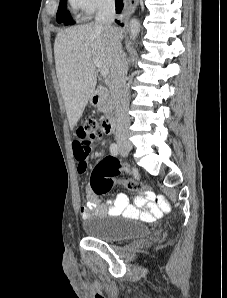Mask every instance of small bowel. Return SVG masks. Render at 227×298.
<instances>
[{
  "instance_id": "1",
  "label": "small bowel",
  "mask_w": 227,
  "mask_h": 298,
  "mask_svg": "<svg viewBox=\"0 0 227 298\" xmlns=\"http://www.w3.org/2000/svg\"><path fill=\"white\" fill-rule=\"evenodd\" d=\"M70 144H72L74 151L72 157L77 160V171L79 174H84L87 169V157L90 155V151H93L94 142H81V139H70ZM156 197L152 191L146 190L140 191V194L135 198L134 204L130 203L124 193H118L114 199L101 202L98 195L89 189L87 191V201L80 208V217L87 220L94 215H122L127 218L151 221L160 217L163 211L169 209L167 204L161 209L155 203ZM140 207H143V209L140 210Z\"/></svg>"
}]
</instances>
